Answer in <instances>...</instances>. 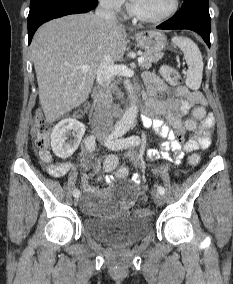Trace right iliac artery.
Here are the masks:
<instances>
[{"instance_id":"82829eb1","label":"right iliac artery","mask_w":233,"mask_h":284,"mask_svg":"<svg viewBox=\"0 0 233 284\" xmlns=\"http://www.w3.org/2000/svg\"><path fill=\"white\" fill-rule=\"evenodd\" d=\"M85 146L91 152L95 150L96 143H95V137L93 135L86 138ZM73 195H74V197L79 196L80 195L79 190L75 189L73 191Z\"/></svg>"}]
</instances>
